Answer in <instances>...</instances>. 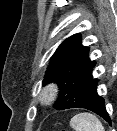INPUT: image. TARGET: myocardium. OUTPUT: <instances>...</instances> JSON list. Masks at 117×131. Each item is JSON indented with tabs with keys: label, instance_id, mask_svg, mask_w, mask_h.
<instances>
[{
	"label": "myocardium",
	"instance_id": "1",
	"mask_svg": "<svg viewBox=\"0 0 117 131\" xmlns=\"http://www.w3.org/2000/svg\"><path fill=\"white\" fill-rule=\"evenodd\" d=\"M59 88L56 84H49L44 87L38 94V102L42 106L51 105L57 98Z\"/></svg>",
	"mask_w": 117,
	"mask_h": 131
}]
</instances>
